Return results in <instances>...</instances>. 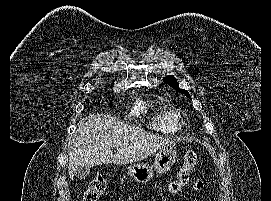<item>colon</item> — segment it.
<instances>
[{
	"instance_id": "colon-1",
	"label": "colon",
	"mask_w": 271,
	"mask_h": 201,
	"mask_svg": "<svg viewBox=\"0 0 271 201\" xmlns=\"http://www.w3.org/2000/svg\"><path fill=\"white\" fill-rule=\"evenodd\" d=\"M197 160L198 156L196 152L188 151L185 154L183 164L177 174V177L168 185V193L170 195L179 193L182 188L188 184L190 175L197 164ZM106 188L107 180L102 176L96 177L90 182L88 189L83 195L82 201H99Z\"/></svg>"
}]
</instances>
